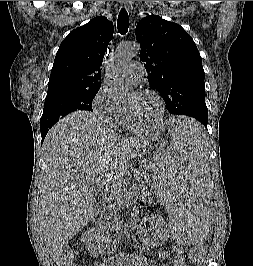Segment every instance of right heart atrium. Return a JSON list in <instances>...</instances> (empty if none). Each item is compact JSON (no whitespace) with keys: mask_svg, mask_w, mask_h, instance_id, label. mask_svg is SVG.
<instances>
[{"mask_svg":"<svg viewBox=\"0 0 253 266\" xmlns=\"http://www.w3.org/2000/svg\"><path fill=\"white\" fill-rule=\"evenodd\" d=\"M92 109L102 122L107 125H118L125 118L123 108L105 85H101L92 100Z\"/></svg>","mask_w":253,"mask_h":266,"instance_id":"obj_1","label":"right heart atrium"}]
</instances>
